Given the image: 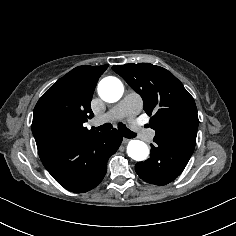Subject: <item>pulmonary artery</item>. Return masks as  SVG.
<instances>
[{"label": "pulmonary artery", "instance_id": "obj_1", "mask_svg": "<svg viewBox=\"0 0 236 236\" xmlns=\"http://www.w3.org/2000/svg\"><path fill=\"white\" fill-rule=\"evenodd\" d=\"M112 113L117 120L124 118L126 115V113L124 112L121 106H118L116 109H114Z\"/></svg>", "mask_w": 236, "mask_h": 236}]
</instances>
